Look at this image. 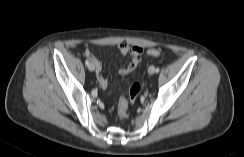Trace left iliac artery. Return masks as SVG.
I'll use <instances>...</instances> for the list:
<instances>
[{
  "mask_svg": "<svg viewBox=\"0 0 244 157\" xmlns=\"http://www.w3.org/2000/svg\"><path fill=\"white\" fill-rule=\"evenodd\" d=\"M159 71H160V69H159V68H156V69H155V72H156V73H158Z\"/></svg>",
  "mask_w": 244,
  "mask_h": 157,
  "instance_id": "obj_1",
  "label": "left iliac artery"
}]
</instances>
